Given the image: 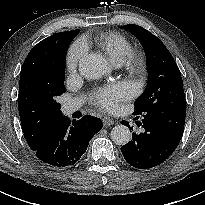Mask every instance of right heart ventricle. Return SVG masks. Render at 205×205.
<instances>
[{
    "instance_id": "e07e8e85",
    "label": "right heart ventricle",
    "mask_w": 205,
    "mask_h": 205,
    "mask_svg": "<svg viewBox=\"0 0 205 205\" xmlns=\"http://www.w3.org/2000/svg\"><path fill=\"white\" fill-rule=\"evenodd\" d=\"M95 44L109 57L115 66H120L132 52L130 41L115 31L101 32L94 37Z\"/></svg>"
}]
</instances>
